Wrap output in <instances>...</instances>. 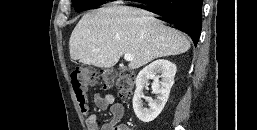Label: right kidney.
<instances>
[{
    "label": "right kidney",
    "mask_w": 257,
    "mask_h": 130,
    "mask_svg": "<svg viewBox=\"0 0 257 130\" xmlns=\"http://www.w3.org/2000/svg\"><path fill=\"white\" fill-rule=\"evenodd\" d=\"M176 65L164 59L156 60L143 68L136 78V90L133 97V109L137 118L148 123L153 121L162 112L170 94L171 87L174 83ZM160 74V75H159ZM161 78V81H159ZM152 82V90L157 94V98H146L149 108H144L142 98H144V87Z\"/></svg>",
    "instance_id": "right-kidney-1"
}]
</instances>
